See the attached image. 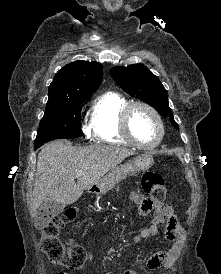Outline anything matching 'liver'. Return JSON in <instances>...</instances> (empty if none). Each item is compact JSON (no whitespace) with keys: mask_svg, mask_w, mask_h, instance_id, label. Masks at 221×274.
<instances>
[{"mask_svg":"<svg viewBox=\"0 0 221 274\" xmlns=\"http://www.w3.org/2000/svg\"><path fill=\"white\" fill-rule=\"evenodd\" d=\"M133 154V150L104 144L74 147L70 142L62 140L47 144L37 159L32 214L35 215L45 201L64 206L76 202L84 190L97 184L106 173ZM79 171L83 174L75 182Z\"/></svg>","mask_w":221,"mask_h":274,"instance_id":"liver-1","label":"liver"}]
</instances>
